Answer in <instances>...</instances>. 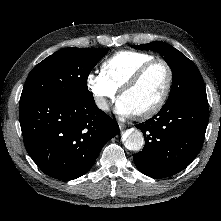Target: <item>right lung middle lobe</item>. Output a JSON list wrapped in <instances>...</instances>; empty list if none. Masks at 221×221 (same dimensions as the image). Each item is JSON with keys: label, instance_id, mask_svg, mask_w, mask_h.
Listing matches in <instances>:
<instances>
[{"label": "right lung middle lobe", "instance_id": "1", "mask_svg": "<svg viewBox=\"0 0 221 221\" xmlns=\"http://www.w3.org/2000/svg\"><path fill=\"white\" fill-rule=\"evenodd\" d=\"M109 48H64L29 73L20 100L92 98L87 77Z\"/></svg>", "mask_w": 221, "mask_h": 221}]
</instances>
